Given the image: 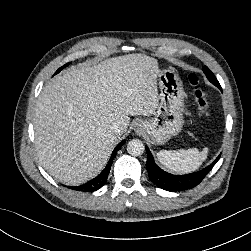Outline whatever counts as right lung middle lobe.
<instances>
[{
  "label": "right lung middle lobe",
  "mask_w": 251,
  "mask_h": 251,
  "mask_svg": "<svg viewBox=\"0 0 251 251\" xmlns=\"http://www.w3.org/2000/svg\"><path fill=\"white\" fill-rule=\"evenodd\" d=\"M67 65H68V64H66V65L62 66L61 68H59V69L55 72V74L59 73V72L63 69V67H65V66H67Z\"/></svg>",
  "instance_id": "obj_1"
}]
</instances>
